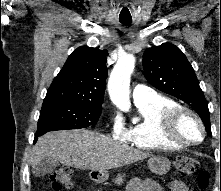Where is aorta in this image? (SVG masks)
Wrapping results in <instances>:
<instances>
[{
	"instance_id": "aorta-1",
	"label": "aorta",
	"mask_w": 221,
	"mask_h": 191,
	"mask_svg": "<svg viewBox=\"0 0 221 191\" xmlns=\"http://www.w3.org/2000/svg\"><path fill=\"white\" fill-rule=\"evenodd\" d=\"M134 67L135 57L131 54H125L118 59L108 80L109 96L122 111H129L131 107L129 86Z\"/></svg>"
}]
</instances>
